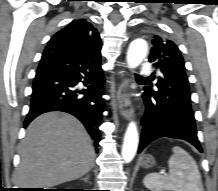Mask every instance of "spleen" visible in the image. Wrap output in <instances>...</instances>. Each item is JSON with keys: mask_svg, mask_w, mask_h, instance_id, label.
<instances>
[{"mask_svg": "<svg viewBox=\"0 0 218 191\" xmlns=\"http://www.w3.org/2000/svg\"><path fill=\"white\" fill-rule=\"evenodd\" d=\"M168 160V175L150 173L143 184L151 191H204L201 175L195 160L184 149L175 146Z\"/></svg>", "mask_w": 218, "mask_h": 191, "instance_id": "spleen-1", "label": "spleen"}]
</instances>
